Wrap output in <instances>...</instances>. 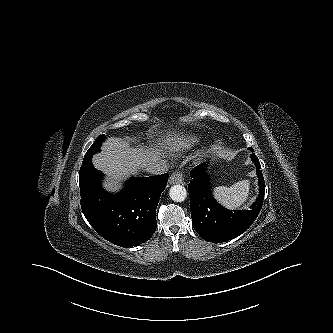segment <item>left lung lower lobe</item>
I'll use <instances>...</instances> for the list:
<instances>
[{"mask_svg": "<svg viewBox=\"0 0 333 333\" xmlns=\"http://www.w3.org/2000/svg\"><path fill=\"white\" fill-rule=\"evenodd\" d=\"M252 153L253 149L249 148ZM251 159L257 167L259 195L250 210L230 211L219 205L211 195L206 164L196 166L190 173L189 183L191 216L194 229L208 242L229 241L245 232L257 218L263 204L265 183L261 165L253 153Z\"/></svg>", "mask_w": 333, "mask_h": 333, "instance_id": "left-lung-lower-lobe-1", "label": "left lung lower lobe"}]
</instances>
